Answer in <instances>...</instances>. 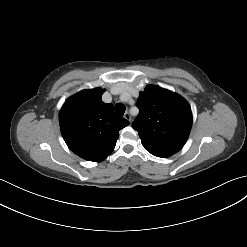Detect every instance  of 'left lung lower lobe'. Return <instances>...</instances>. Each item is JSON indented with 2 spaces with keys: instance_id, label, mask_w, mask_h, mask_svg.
Wrapping results in <instances>:
<instances>
[{
  "instance_id": "0a47b994",
  "label": "left lung lower lobe",
  "mask_w": 247,
  "mask_h": 247,
  "mask_svg": "<svg viewBox=\"0 0 247 247\" xmlns=\"http://www.w3.org/2000/svg\"><path fill=\"white\" fill-rule=\"evenodd\" d=\"M152 154V153H151ZM154 156H157V157H161V158H166L165 156H161V155H156V154H153Z\"/></svg>"
}]
</instances>
